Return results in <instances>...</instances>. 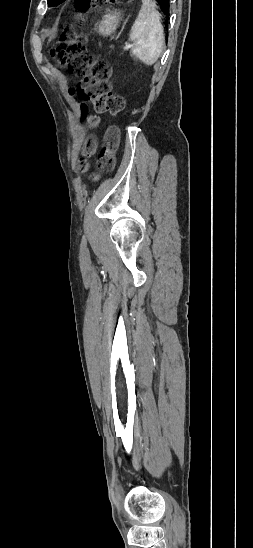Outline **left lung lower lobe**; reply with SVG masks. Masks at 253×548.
<instances>
[{"instance_id": "0a47b994", "label": "left lung lower lobe", "mask_w": 253, "mask_h": 548, "mask_svg": "<svg viewBox=\"0 0 253 548\" xmlns=\"http://www.w3.org/2000/svg\"><path fill=\"white\" fill-rule=\"evenodd\" d=\"M63 1L64 0L60 1L58 4L62 3ZM156 1L158 2V5L160 6L161 10L165 14L166 18H169L170 0H156Z\"/></svg>"}]
</instances>
